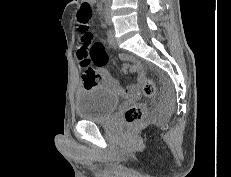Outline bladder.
Returning <instances> with one entry per match:
<instances>
[{
    "mask_svg": "<svg viewBox=\"0 0 231 177\" xmlns=\"http://www.w3.org/2000/svg\"><path fill=\"white\" fill-rule=\"evenodd\" d=\"M119 105L118 96L110 89L94 85L77 91L75 108L82 120L101 122L108 119Z\"/></svg>",
    "mask_w": 231,
    "mask_h": 177,
    "instance_id": "1",
    "label": "bladder"
}]
</instances>
